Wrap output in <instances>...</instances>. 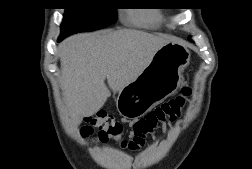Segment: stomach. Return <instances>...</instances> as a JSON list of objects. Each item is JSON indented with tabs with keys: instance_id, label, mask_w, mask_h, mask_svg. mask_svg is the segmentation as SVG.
Segmentation results:
<instances>
[{
	"instance_id": "0dacf381",
	"label": "stomach",
	"mask_w": 252,
	"mask_h": 169,
	"mask_svg": "<svg viewBox=\"0 0 252 169\" xmlns=\"http://www.w3.org/2000/svg\"><path fill=\"white\" fill-rule=\"evenodd\" d=\"M190 52L169 41L153 56L148 66L118 93L116 107L125 119L137 120L180 87Z\"/></svg>"
}]
</instances>
